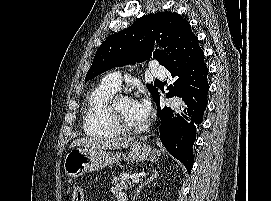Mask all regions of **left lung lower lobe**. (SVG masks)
Returning a JSON list of instances; mask_svg holds the SVG:
<instances>
[{
  "label": "left lung lower lobe",
  "mask_w": 271,
  "mask_h": 201,
  "mask_svg": "<svg viewBox=\"0 0 271 201\" xmlns=\"http://www.w3.org/2000/svg\"><path fill=\"white\" fill-rule=\"evenodd\" d=\"M172 78L177 80L168 87V98L181 97L186 108L184 113L171 119V109H161L159 93L153 98L161 118L160 139L168 152L180 160L190 174L193 167V149L196 126L202 123V115L208 104V68L198 38L183 42L176 47L170 63L166 66Z\"/></svg>",
  "instance_id": "obj_1"
}]
</instances>
